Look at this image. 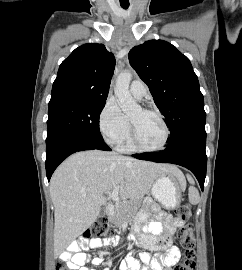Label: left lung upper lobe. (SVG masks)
Returning <instances> with one entry per match:
<instances>
[{
    "mask_svg": "<svg viewBox=\"0 0 242 270\" xmlns=\"http://www.w3.org/2000/svg\"><path fill=\"white\" fill-rule=\"evenodd\" d=\"M129 61L147 84L170 129L167 143L188 132L204 130L206 113L199 82L190 60L163 40L132 48Z\"/></svg>",
    "mask_w": 242,
    "mask_h": 270,
    "instance_id": "left-lung-upper-lobe-1",
    "label": "left lung upper lobe"
}]
</instances>
